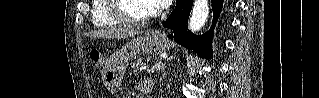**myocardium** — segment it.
Masks as SVG:
<instances>
[{
	"mask_svg": "<svg viewBox=\"0 0 319 98\" xmlns=\"http://www.w3.org/2000/svg\"><path fill=\"white\" fill-rule=\"evenodd\" d=\"M119 4L120 1L118 0H108V13L114 20L118 22V24L131 27H141L148 23L154 17V14L150 13L149 15L141 19L129 18L121 12Z\"/></svg>",
	"mask_w": 319,
	"mask_h": 98,
	"instance_id": "obj_1",
	"label": "myocardium"
}]
</instances>
